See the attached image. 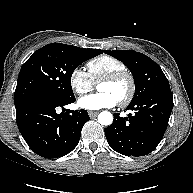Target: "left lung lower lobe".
<instances>
[{
  "label": "left lung lower lobe",
  "mask_w": 193,
  "mask_h": 193,
  "mask_svg": "<svg viewBox=\"0 0 193 193\" xmlns=\"http://www.w3.org/2000/svg\"><path fill=\"white\" fill-rule=\"evenodd\" d=\"M173 108L169 83L161 85L141 100L130 103L126 110L135 115L120 117L105 129L111 148L125 156H142L152 152L162 140Z\"/></svg>",
  "instance_id": "1"
}]
</instances>
